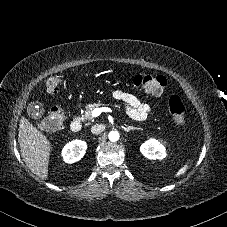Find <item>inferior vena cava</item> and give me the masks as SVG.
Here are the masks:
<instances>
[{"label":"inferior vena cava","instance_id":"inferior-vena-cava-1","mask_svg":"<svg viewBox=\"0 0 227 227\" xmlns=\"http://www.w3.org/2000/svg\"><path fill=\"white\" fill-rule=\"evenodd\" d=\"M105 125L103 124H96L91 127V132L95 135L100 134L104 131Z\"/></svg>","mask_w":227,"mask_h":227}]
</instances>
